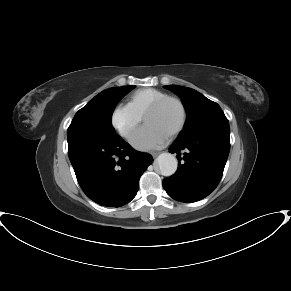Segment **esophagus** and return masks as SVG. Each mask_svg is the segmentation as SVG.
<instances>
[{
	"label": "esophagus",
	"mask_w": 291,
	"mask_h": 291,
	"mask_svg": "<svg viewBox=\"0 0 291 291\" xmlns=\"http://www.w3.org/2000/svg\"><path fill=\"white\" fill-rule=\"evenodd\" d=\"M159 154H160V152H153V153H152V156H153V157H157Z\"/></svg>",
	"instance_id": "obj_1"
}]
</instances>
